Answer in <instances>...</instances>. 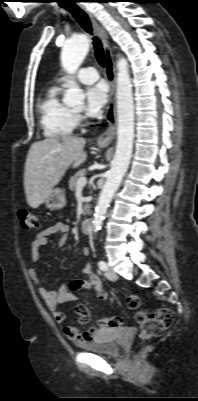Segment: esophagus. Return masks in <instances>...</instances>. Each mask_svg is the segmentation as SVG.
Here are the masks:
<instances>
[{"label": "esophagus", "instance_id": "1", "mask_svg": "<svg viewBox=\"0 0 198 401\" xmlns=\"http://www.w3.org/2000/svg\"><path fill=\"white\" fill-rule=\"evenodd\" d=\"M80 7L89 16L99 38L102 42L103 49L107 59L106 77L110 85L108 105L105 113V120L107 122V129L102 133L98 139V145H108L113 140L116 133V72L113 60L112 50L107 41V35L103 27L95 19L92 12H90L84 5L79 4Z\"/></svg>", "mask_w": 198, "mask_h": 401}]
</instances>
